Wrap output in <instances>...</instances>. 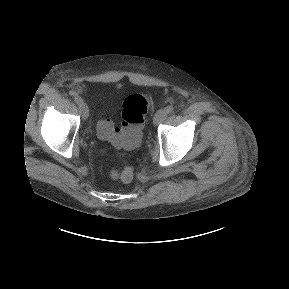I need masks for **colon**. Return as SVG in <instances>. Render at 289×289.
<instances>
[{
  "label": "colon",
  "mask_w": 289,
  "mask_h": 289,
  "mask_svg": "<svg viewBox=\"0 0 289 289\" xmlns=\"http://www.w3.org/2000/svg\"><path fill=\"white\" fill-rule=\"evenodd\" d=\"M150 100V97L144 94H132L127 97L122 105L120 126L115 127L109 120H102L97 127L99 136L127 150L136 149L140 144ZM112 175L124 182H130L133 178V170L130 167H125L121 171L113 169Z\"/></svg>",
  "instance_id": "1"
}]
</instances>
